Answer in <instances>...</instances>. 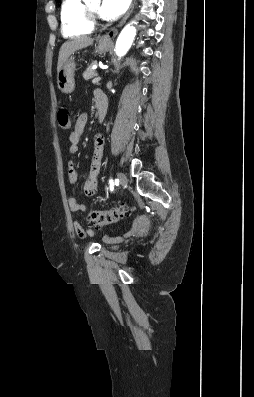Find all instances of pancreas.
Returning <instances> with one entry per match:
<instances>
[{
	"mask_svg": "<svg viewBox=\"0 0 254 397\" xmlns=\"http://www.w3.org/2000/svg\"><path fill=\"white\" fill-rule=\"evenodd\" d=\"M92 65H93V64H91L90 66H88V67L86 68V71L83 73V78H84L85 80H89V79H91V78H93L94 76L97 75V73L95 72V70L92 69Z\"/></svg>",
	"mask_w": 254,
	"mask_h": 397,
	"instance_id": "1",
	"label": "pancreas"
}]
</instances>
